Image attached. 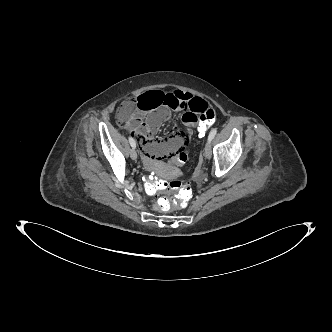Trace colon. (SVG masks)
Masks as SVG:
<instances>
[{"instance_id":"1","label":"colon","mask_w":332,"mask_h":332,"mask_svg":"<svg viewBox=\"0 0 332 332\" xmlns=\"http://www.w3.org/2000/svg\"><path fill=\"white\" fill-rule=\"evenodd\" d=\"M139 94L137 95V98ZM134 105L135 101H130L124 104L121 108L122 116H129L135 110ZM216 117V111L211 107H208L200 113L199 122L197 123L195 131L198 138L202 139L207 136V133L209 132L211 125L215 122ZM193 152V148L186 145L181 148V151L175 152L174 154H168L163 162V169L170 173L176 172L179 168L184 167L192 161ZM145 190L149 194H156L159 191H169L173 194L171 197L155 198L152 200L151 209L155 213H162L174 208L189 210L193 206V199L191 197L193 190L189 181H167L162 178L154 177L146 181Z\"/></svg>"}]
</instances>
